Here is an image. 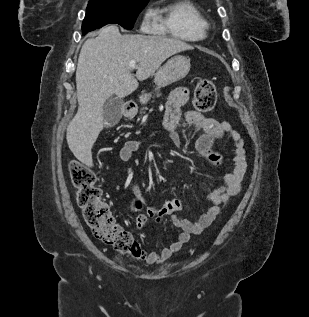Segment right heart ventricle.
I'll return each mask as SVG.
<instances>
[{"label": "right heart ventricle", "mask_w": 309, "mask_h": 317, "mask_svg": "<svg viewBox=\"0 0 309 317\" xmlns=\"http://www.w3.org/2000/svg\"><path fill=\"white\" fill-rule=\"evenodd\" d=\"M157 21L169 34L186 41L205 37L208 23L190 2H176L157 13Z\"/></svg>", "instance_id": "obj_1"}]
</instances>
